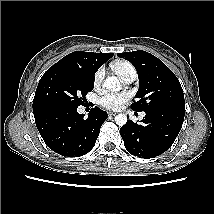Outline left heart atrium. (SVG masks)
<instances>
[{
    "label": "left heart atrium",
    "mask_w": 214,
    "mask_h": 214,
    "mask_svg": "<svg viewBox=\"0 0 214 214\" xmlns=\"http://www.w3.org/2000/svg\"><path fill=\"white\" fill-rule=\"evenodd\" d=\"M131 97L129 92H107L98 100L99 104L107 109H120Z\"/></svg>",
    "instance_id": "obj_1"
}]
</instances>
